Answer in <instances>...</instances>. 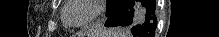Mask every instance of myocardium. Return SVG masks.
<instances>
[{
	"label": "myocardium",
	"instance_id": "obj_1",
	"mask_svg": "<svg viewBox=\"0 0 219 37\" xmlns=\"http://www.w3.org/2000/svg\"><path fill=\"white\" fill-rule=\"evenodd\" d=\"M91 5H93L94 7V12L92 13V15L82 21V22H71L67 19L66 17V11L67 9L70 7V3H72L73 1H67L66 3V6H65V9L62 13V18L65 22V24L69 27H84V26H87L89 24H91L93 21H95L103 12V8H104V1L103 0H87Z\"/></svg>",
	"mask_w": 219,
	"mask_h": 37
}]
</instances>
